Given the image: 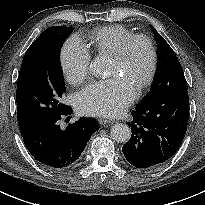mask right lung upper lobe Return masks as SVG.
<instances>
[{
    "label": "right lung upper lobe",
    "instance_id": "1",
    "mask_svg": "<svg viewBox=\"0 0 205 205\" xmlns=\"http://www.w3.org/2000/svg\"><path fill=\"white\" fill-rule=\"evenodd\" d=\"M18 125H19V128H20L21 135L24 134L30 128L28 126H24L20 119H18Z\"/></svg>",
    "mask_w": 205,
    "mask_h": 205
}]
</instances>
